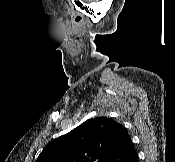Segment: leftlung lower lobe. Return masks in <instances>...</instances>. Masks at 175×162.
Returning a JSON list of instances; mask_svg holds the SVG:
<instances>
[{"instance_id": "obj_1", "label": "left lung lower lobe", "mask_w": 175, "mask_h": 162, "mask_svg": "<svg viewBox=\"0 0 175 162\" xmlns=\"http://www.w3.org/2000/svg\"><path fill=\"white\" fill-rule=\"evenodd\" d=\"M107 162H138V155L129 134L115 148Z\"/></svg>"}]
</instances>
